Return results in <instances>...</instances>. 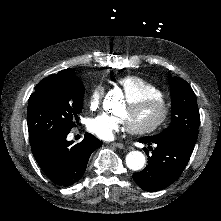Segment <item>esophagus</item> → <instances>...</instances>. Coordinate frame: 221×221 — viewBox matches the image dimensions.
<instances>
[{"label":"esophagus","mask_w":221,"mask_h":221,"mask_svg":"<svg viewBox=\"0 0 221 221\" xmlns=\"http://www.w3.org/2000/svg\"><path fill=\"white\" fill-rule=\"evenodd\" d=\"M109 146H113L119 149H123L124 145L122 143H117V142H112V143H108Z\"/></svg>","instance_id":"esophagus-1"}]
</instances>
